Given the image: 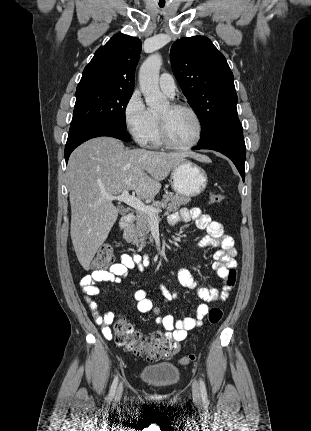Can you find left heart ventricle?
Here are the masks:
<instances>
[{
  "instance_id": "obj_1",
  "label": "left heart ventricle",
  "mask_w": 311,
  "mask_h": 431,
  "mask_svg": "<svg viewBox=\"0 0 311 431\" xmlns=\"http://www.w3.org/2000/svg\"><path fill=\"white\" fill-rule=\"evenodd\" d=\"M159 115L167 119L170 136L176 143L186 145L196 139L199 126L192 113L185 110L172 111L168 105Z\"/></svg>"
}]
</instances>
